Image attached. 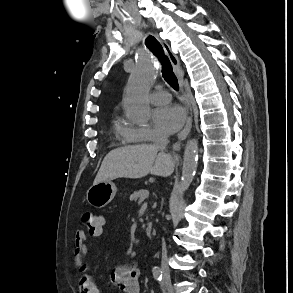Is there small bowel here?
Returning <instances> with one entry per match:
<instances>
[{
  "label": "small bowel",
  "instance_id": "obj_1",
  "mask_svg": "<svg viewBox=\"0 0 293 293\" xmlns=\"http://www.w3.org/2000/svg\"><path fill=\"white\" fill-rule=\"evenodd\" d=\"M99 218L102 221V227L94 232L90 233L93 237H99L103 233V226L106 224V218L104 215L99 214ZM87 233L83 230H77L74 238V254L76 266L82 271L87 270L86 259L89 251L86 245ZM112 282L124 293H141L140 286V269L137 264H123L114 268L112 272ZM95 287L92 278L89 275L83 274L78 280V288L80 293H90V290ZM97 289V288H96ZM98 289H97V292Z\"/></svg>",
  "mask_w": 293,
  "mask_h": 293
}]
</instances>
